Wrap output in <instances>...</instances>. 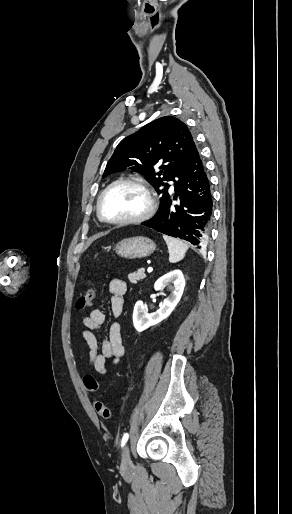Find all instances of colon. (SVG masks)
Segmentation results:
<instances>
[{
    "label": "colon",
    "instance_id": "obj_1",
    "mask_svg": "<svg viewBox=\"0 0 292 514\" xmlns=\"http://www.w3.org/2000/svg\"><path fill=\"white\" fill-rule=\"evenodd\" d=\"M95 298V288L90 283L87 282L85 290L80 295L78 301H77V307L78 309H85L92 305L93 300ZM84 385L86 388H88V392L91 395H94L97 392L98 383L96 382L95 378L89 374L86 373L83 376ZM95 408L99 414H101L105 418H109L111 416L110 409L104 405L101 401L95 402Z\"/></svg>",
    "mask_w": 292,
    "mask_h": 514
}]
</instances>
